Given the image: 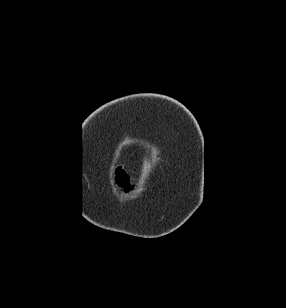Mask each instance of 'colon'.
I'll list each match as a JSON object with an SVG mask.
<instances>
[{"mask_svg":"<svg viewBox=\"0 0 286 308\" xmlns=\"http://www.w3.org/2000/svg\"><path fill=\"white\" fill-rule=\"evenodd\" d=\"M115 178L117 183L124 189L129 190L130 189V182L126 175V173L122 170L115 171Z\"/></svg>","mask_w":286,"mask_h":308,"instance_id":"5ec220e1","label":"colon"}]
</instances>
